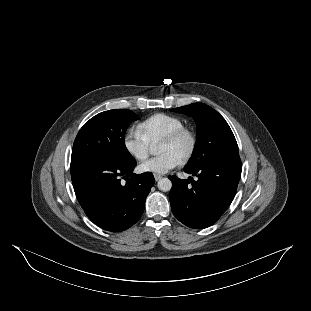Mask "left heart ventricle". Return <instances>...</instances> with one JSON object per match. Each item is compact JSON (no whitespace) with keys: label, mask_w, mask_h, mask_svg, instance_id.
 Masks as SVG:
<instances>
[{"label":"left heart ventricle","mask_w":311,"mask_h":311,"mask_svg":"<svg viewBox=\"0 0 311 311\" xmlns=\"http://www.w3.org/2000/svg\"><path fill=\"white\" fill-rule=\"evenodd\" d=\"M189 147L190 139L189 137L185 136L176 144L161 142L159 145L158 153L163 154L166 152H172L176 154L180 159H182L188 151Z\"/></svg>","instance_id":"obj_1"}]
</instances>
